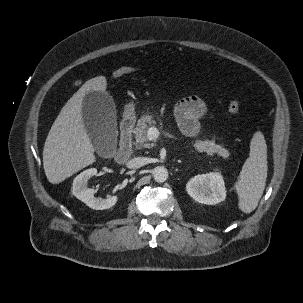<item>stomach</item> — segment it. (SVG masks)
I'll return each instance as SVG.
<instances>
[{"label": "stomach", "instance_id": "stomach-1", "mask_svg": "<svg viewBox=\"0 0 303 303\" xmlns=\"http://www.w3.org/2000/svg\"><path fill=\"white\" fill-rule=\"evenodd\" d=\"M134 110H135L134 104H133V103H130V104H128V105L126 106V108H125V114H126L127 116H132V115L134 114Z\"/></svg>", "mask_w": 303, "mask_h": 303}]
</instances>
